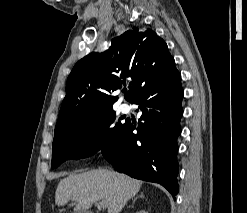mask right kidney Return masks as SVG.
Returning <instances> with one entry per match:
<instances>
[{
  "instance_id": "right-kidney-1",
  "label": "right kidney",
  "mask_w": 247,
  "mask_h": 213,
  "mask_svg": "<svg viewBox=\"0 0 247 213\" xmlns=\"http://www.w3.org/2000/svg\"><path fill=\"white\" fill-rule=\"evenodd\" d=\"M136 213H148V212H146V211H144V210H141V211H138V212H136Z\"/></svg>"
}]
</instances>
